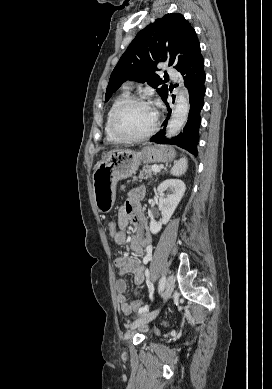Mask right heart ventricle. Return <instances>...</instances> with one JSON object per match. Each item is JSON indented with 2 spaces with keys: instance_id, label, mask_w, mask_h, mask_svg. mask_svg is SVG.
Wrapping results in <instances>:
<instances>
[{
  "instance_id": "obj_1",
  "label": "right heart ventricle",
  "mask_w": 272,
  "mask_h": 389,
  "mask_svg": "<svg viewBox=\"0 0 272 389\" xmlns=\"http://www.w3.org/2000/svg\"><path fill=\"white\" fill-rule=\"evenodd\" d=\"M128 96H129V92L127 90L123 91L118 96H116L107 112L105 124H104V132H105L106 141L108 143L120 142V140L113 134L111 130V117L114 110L118 107V105L122 103L126 98H128Z\"/></svg>"
}]
</instances>
